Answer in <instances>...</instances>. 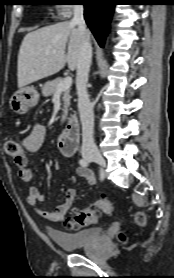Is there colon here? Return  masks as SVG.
Returning <instances> with one entry per match:
<instances>
[{
	"mask_svg": "<svg viewBox=\"0 0 174 278\" xmlns=\"http://www.w3.org/2000/svg\"><path fill=\"white\" fill-rule=\"evenodd\" d=\"M3 148L6 154L14 158L22 157L25 154L22 145L15 141H6ZM111 210L112 204L108 200H97L82 209L74 210L68 219L67 227L69 229H78L83 226L93 224L98 221L103 214L109 213ZM135 219L139 225H144L146 223V217L142 212H138ZM120 239L124 240V235H120Z\"/></svg>",
	"mask_w": 174,
	"mask_h": 278,
	"instance_id": "obj_1",
	"label": "colon"
}]
</instances>
